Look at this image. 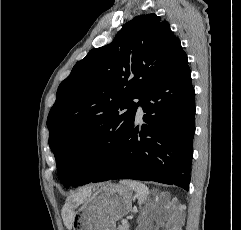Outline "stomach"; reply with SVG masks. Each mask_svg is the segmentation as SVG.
Instances as JSON below:
<instances>
[{
    "instance_id": "1",
    "label": "stomach",
    "mask_w": 241,
    "mask_h": 230,
    "mask_svg": "<svg viewBox=\"0 0 241 230\" xmlns=\"http://www.w3.org/2000/svg\"><path fill=\"white\" fill-rule=\"evenodd\" d=\"M132 207V191L120 184H101L76 211L73 230H115L116 222Z\"/></svg>"
}]
</instances>
